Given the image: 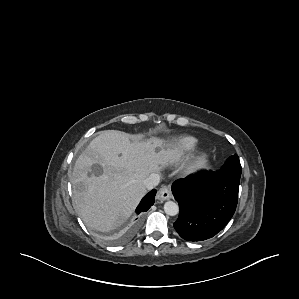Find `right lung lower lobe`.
Returning a JSON list of instances; mask_svg holds the SVG:
<instances>
[{"label":"right lung lower lobe","instance_id":"1","mask_svg":"<svg viewBox=\"0 0 299 299\" xmlns=\"http://www.w3.org/2000/svg\"><path fill=\"white\" fill-rule=\"evenodd\" d=\"M156 190L153 189L150 191L140 202L136 209V213H142L149 210V208L154 204L155 201Z\"/></svg>","mask_w":299,"mask_h":299}]
</instances>
